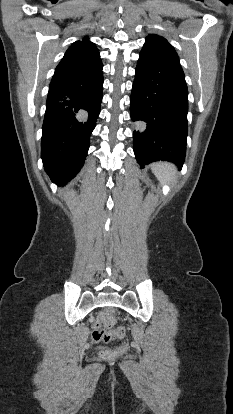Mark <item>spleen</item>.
<instances>
[{"label": "spleen", "instance_id": "1", "mask_svg": "<svg viewBox=\"0 0 233 414\" xmlns=\"http://www.w3.org/2000/svg\"><path fill=\"white\" fill-rule=\"evenodd\" d=\"M151 169L161 183L169 184L176 179V167L171 163H154L151 165Z\"/></svg>", "mask_w": 233, "mask_h": 414}]
</instances>
